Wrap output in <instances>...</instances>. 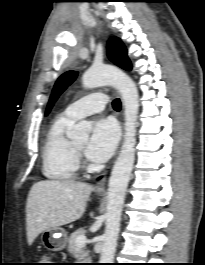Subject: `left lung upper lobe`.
Returning <instances> with one entry per match:
<instances>
[{
	"label": "left lung upper lobe",
	"mask_w": 205,
	"mask_h": 265,
	"mask_svg": "<svg viewBox=\"0 0 205 265\" xmlns=\"http://www.w3.org/2000/svg\"><path fill=\"white\" fill-rule=\"evenodd\" d=\"M108 57L117 66L130 71L131 63L127 57V51L122 41L117 37H112L108 41L107 45ZM78 72L68 71L62 74L56 81L48 106L46 109V115L50 112L53 104L60 96V94L76 79Z\"/></svg>",
	"instance_id": "left-lung-upper-lobe-1"
}]
</instances>
